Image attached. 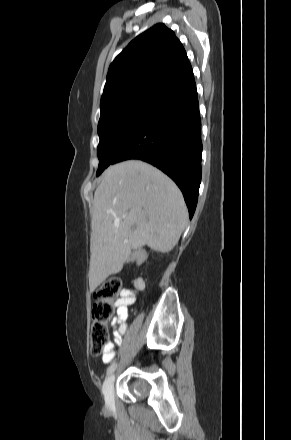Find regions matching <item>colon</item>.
I'll use <instances>...</instances> for the list:
<instances>
[{
	"mask_svg": "<svg viewBox=\"0 0 291 440\" xmlns=\"http://www.w3.org/2000/svg\"><path fill=\"white\" fill-rule=\"evenodd\" d=\"M133 288L140 290L142 284L139 280L133 282ZM129 292L121 287V282L117 278H111L100 284L95 292V302L92 308L90 324V352L94 356L103 354L109 345V334L107 322L114 313L112 300Z\"/></svg>",
	"mask_w": 291,
	"mask_h": 440,
	"instance_id": "obj_1",
	"label": "colon"
}]
</instances>
